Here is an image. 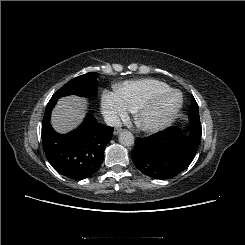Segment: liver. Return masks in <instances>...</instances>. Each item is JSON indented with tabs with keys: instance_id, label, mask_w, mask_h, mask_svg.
Segmentation results:
<instances>
[{
	"instance_id": "liver-1",
	"label": "liver",
	"mask_w": 245,
	"mask_h": 245,
	"mask_svg": "<svg viewBox=\"0 0 245 245\" xmlns=\"http://www.w3.org/2000/svg\"><path fill=\"white\" fill-rule=\"evenodd\" d=\"M85 98L68 96L61 98L52 112V125L59 133H67L76 128L86 114Z\"/></svg>"
}]
</instances>
